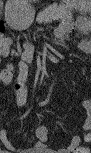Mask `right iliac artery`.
I'll use <instances>...</instances> for the list:
<instances>
[{
	"instance_id": "82829eb1",
	"label": "right iliac artery",
	"mask_w": 91,
	"mask_h": 153,
	"mask_svg": "<svg viewBox=\"0 0 91 153\" xmlns=\"http://www.w3.org/2000/svg\"><path fill=\"white\" fill-rule=\"evenodd\" d=\"M48 101H49V97L45 101L41 102L39 105L44 106L48 103Z\"/></svg>"
}]
</instances>
